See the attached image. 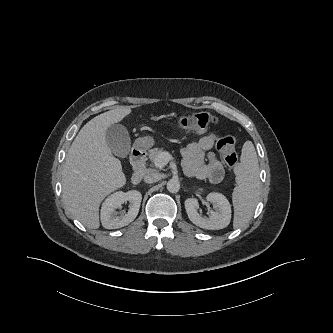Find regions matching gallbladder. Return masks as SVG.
<instances>
[{
	"mask_svg": "<svg viewBox=\"0 0 333 333\" xmlns=\"http://www.w3.org/2000/svg\"><path fill=\"white\" fill-rule=\"evenodd\" d=\"M106 142L110 151L117 157L126 158L130 152L131 140L125 126L112 124L106 130Z\"/></svg>",
	"mask_w": 333,
	"mask_h": 333,
	"instance_id": "1",
	"label": "gallbladder"
}]
</instances>
